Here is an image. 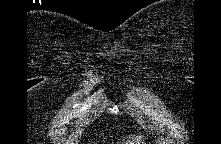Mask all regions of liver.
Masks as SVG:
<instances>
[{
	"label": "liver",
	"instance_id": "liver-1",
	"mask_svg": "<svg viewBox=\"0 0 221 144\" xmlns=\"http://www.w3.org/2000/svg\"><path fill=\"white\" fill-rule=\"evenodd\" d=\"M141 138L142 137H137L136 139L128 140L127 144H141Z\"/></svg>",
	"mask_w": 221,
	"mask_h": 144
}]
</instances>
